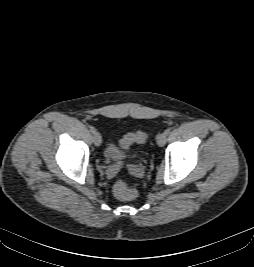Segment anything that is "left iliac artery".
Segmentation results:
<instances>
[{"label":"left iliac artery","mask_w":254,"mask_h":267,"mask_svg":"<svg viewBox=\"0 0 254 267\" xmlns=\"http://www.w3.org/2000/svg\"><path fill=\"white\" fill-rule=\"evenodd\" d=\"M171 132V128L165 130V133L168 135Z\"/></svg>","instance_id":"obj_1"}]
</instances>
